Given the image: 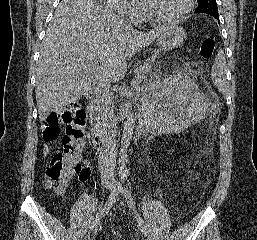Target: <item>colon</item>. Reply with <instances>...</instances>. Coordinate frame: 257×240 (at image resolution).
<instances>
[{
    "instance_id": "obj_1",
    "label": "colon",
    "mask_w": 257,
    "mask_h": 240,
    "mask_svg": "<svg viewBox=\"0 0 257 240\" xmlns=\"http://www.w3.org/2000/svg\"><path fill=\"white\" fill-rule=\"evenodd\" d=\"M215 51V38L207 36L202 39L198 52L206 67ZM86 113L79 104H74L62 112H52L44 122V137L55 141L60 137V127H65L62 136L63 150L51 158L45 172L46 182L59 190L66 189L75 176L86 175V168L81 164V152L85 141Z\"/></svg>"
}]
</instances>
